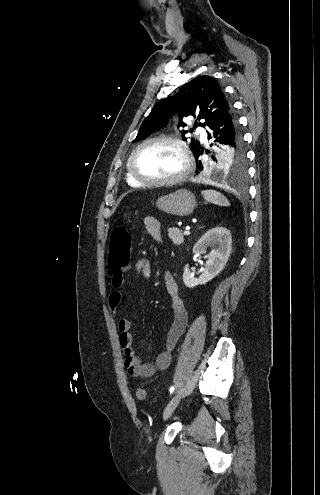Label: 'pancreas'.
<instances>
[{"label": "pancreas", "mask_w": 320, "mask_h": 495, "mask_svg": "<svg viewBox=\"0 0 320 495\" xmlns=\"http://www.w3.org/2000/svg\"><path fill=\"white\" fill-rule=\"evenodd\" d=\"M168 232H169L168 233L169 238L172 240V242L175 245H180L184 243V236L181 230H179L177 227L169 228Z\"/></svg>", "instance_id": "1"}]
</instances>
